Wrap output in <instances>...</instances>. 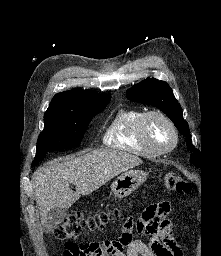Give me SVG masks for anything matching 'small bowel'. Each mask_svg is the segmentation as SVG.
<instances>
[{"label":"small bowel","instance_id":"c3829d8e","mask_svg":"<svg viewBox=\"0 0 221 256\" xmlns=\"http://www.w3.org/2000/svg\"><path fill=\"white\" fill-rule=\"evenodd\" d=\"M170 209L169 202L152 204L137 220L127 218L119 237L78 246L76 253L65 251L64 256H183L167 218ZM134 233L148 241L134 239Z\"/></svg>","mask_w":221,"mask_h":256}]
</instances>
